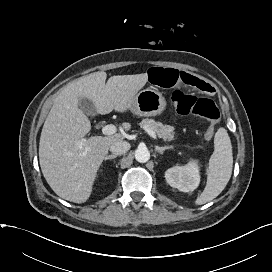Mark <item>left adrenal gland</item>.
I'll return each instance as SVG.
<instances>
[{
    "label": "left adrenal gland",
    "instance_id": "left-adrenal-gland-1",
    "mask_svg": "<svg viewBox=\"0 0 272 272\" xmlns=\"http://www.w3.org/2000/svg\"><path fill=\"white\" fill-rule=\"evenodd\" d=\"M171 148H173V147L172 146H165V147L155 146V150L160 154H163L165 150L171 149Z\"/></svg>",
    "mask_w": 272,
    "mask_h": 272
}]
</instances>
